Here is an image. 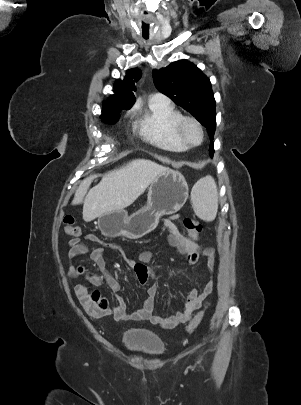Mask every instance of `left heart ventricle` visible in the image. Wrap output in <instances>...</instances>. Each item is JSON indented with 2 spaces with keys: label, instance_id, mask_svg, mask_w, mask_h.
Returning a JSON list of instances; mask_svg holds the SVG:
<instances>
[{
  "label": "left heart ventricle",
  "instance_id": "left-heart-ventricle-1",
  "mask_svg": "<svg viewBox=\"0 0 301 405\" xmlns=\"http://www.w3.org/2000/svg\"><path fill=\"white\" fill-rule=\"evenodd\" d=\"M185 134L188 140L192 143H198L200 141V132L194 124H187L185 127Z\"/></svg>",
  "mask_w": 301,
  "mask_h": 405
}]
</instances>
